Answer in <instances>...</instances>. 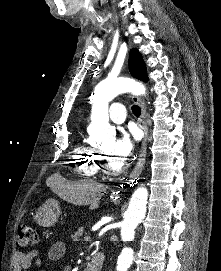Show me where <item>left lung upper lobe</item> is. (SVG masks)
<instances>
[{"label":"left lung upper lobe","mask_w":221,"mask_h":271,"mask_svg":"<svg viewBox=\"0 0 221 271\" xmlns=\"http://www.w3.org/2000/svg\"><path fill=\"white\" fill-rule=\"evenodd\" d=\"M129 71L133 77L148 81L146 65L140 52L136 48L131 49L129 54Z\"/></svg>","instance_id":"obj_1"}]
</instances>
